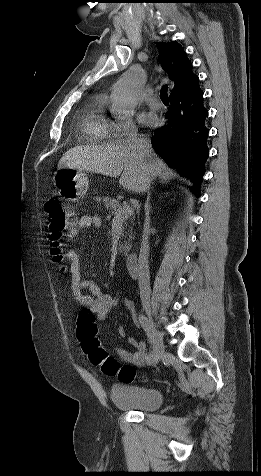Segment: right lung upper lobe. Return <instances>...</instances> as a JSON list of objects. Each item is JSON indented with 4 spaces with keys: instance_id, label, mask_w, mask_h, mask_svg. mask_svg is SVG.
I'll use <instances>...</instances> for the list:
<instances>
[{
    "instance_id": "cb5924a9",
    "label": "right lung upper lobe",
    "mask_w": 261,
    "mask_h": 476,
    "mask_svg": "<svg viewBox=\"0 0 261 476\" xmlns=\"http://www.w3.org/2000/svg\"><path fill=\"white\" fill-rule=\"evenodd\" d=\"M156 44L160 50L162 67L175 84L170 94L172 95L187 87L196 76L192 73V64L178 43L157 42Z\"/></svg>"
}]
</instances>
